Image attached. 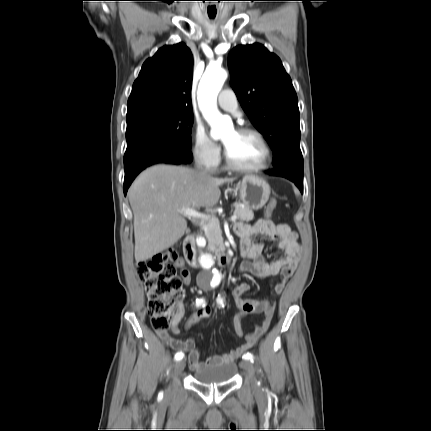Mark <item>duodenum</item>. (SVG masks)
<instances>
[{"instance_id": "1", "label": "duodenum", "mask_w": 431, "mask_h": 431, "mask_svg": "<svg viewBox=\"0 0 431 431\" xmlns=\"http://www.w3.org/2000/svg\"><path fill=\"white\" fill-rule=\"evenodd\" d=\"M183 250L188 264L197 267V253L193 235H188L183 243ZM216 262L219 266H225L228 263V257L224 251H218L215 255Z\"/></svg>"}]
</instances>
